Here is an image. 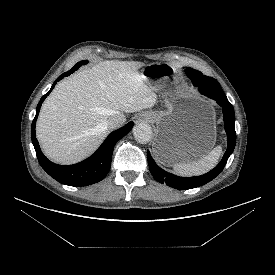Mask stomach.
<instances>
[{
    "label": "stomach",
    "mask_w": 275,
    "mask_h": 275,
    "mask_svg": "<svg viewBox=\"0 0 275 275\" xmlns=\"http://www.w3.org/2000/svg\"><path fill=\"white\" fill-rule=\"evenodd\" d=\"M169 63L145 65L141 73L152 88L175 77ZM167 111L151 112L156 123L153 154L163 165L194 162L210 152L216 142L215 112L208 101L183 89L168 93Z\"/></svg>",
    "instance_id": "1"
}]
</instances>
